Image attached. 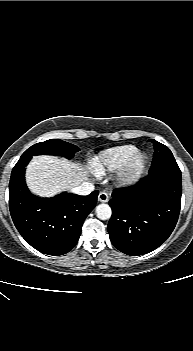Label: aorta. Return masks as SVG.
<instances>
[{"instance_id":"762f6f07","label":"aorta","mask_w":193,"mask_h":351,"mask_svg":"<svg viewBox=\"0 0 193 351\" xmlns=\"http://www.w3.org/2000/svg\"><path fill=\"white\" fill-rule=\"evenodd\" d=\"M96 216L100 220H108L112 215L111 207L108 204L102 203L96 207Z\"/></svg>"}]
</instances>
